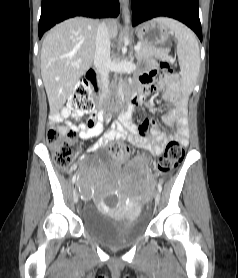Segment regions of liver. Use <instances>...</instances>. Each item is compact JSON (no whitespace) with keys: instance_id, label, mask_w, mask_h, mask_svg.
Listing matches in <instances>:
<instances>
[{"instance_id":"obj_1","label":"liver","mask_w":238,"mask_h":278,"mask_svg":"<svg viewBox=\"0 0 238 278\" xmlns=\"http://www.w3.org/2000/svg\"><path fill=\"white\" fill-rule=\"evenodd\" d=\"M99 22L75 17L53 27L41 48V76L50 112H58L73 93L75 85L94 61ZM110 38L118 34L117 22L107 23Z\"/></svg>"}]
</instances>
